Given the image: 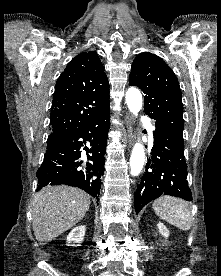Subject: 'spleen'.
<instances>
[{
	"mask_svg": "<svg viewBox=\"0 0 221 276\" xmlns=\"http://www.w3.org/2000/svg\"><path fill=\"white\" fill-rule=\"evenodd\" d=\"M155 213L171 225L183 231L191 228V212L188 204L179 198L163 196L153 203Z\"/></svg>",
	"mask_w": 221,
	"mask_h": 276,
	"instance_id": "3e777b00",
	"label": "spleen"
}]
</instances>
